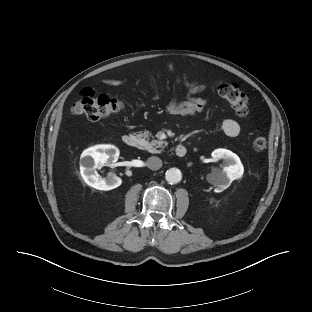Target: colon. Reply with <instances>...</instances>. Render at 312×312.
<instances>
[{
	"mask_svg": "<svg viewBox=\"0 0 312 312\" xmlns=\"http://www.w3.org/2000/svg\"><path fill=\"white\" fill-rule=\"evenodd\" d=\"M219 95L227 100L238 116L249 113V100L234 83L223 82L218 86ZM123 104L120 100L106 95H96L91 89L85 88L74 107V113L86 116L91 121L105 119L121 111ZM255 151L261 152L267 147V139L257 136L252 141Z\"/></svg>",
	"mask_w": 312,
	"mask_h": 312,
	"instance_id": "colon-1",
	"label": "colon"
}]
</instances>
